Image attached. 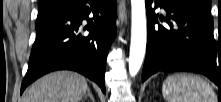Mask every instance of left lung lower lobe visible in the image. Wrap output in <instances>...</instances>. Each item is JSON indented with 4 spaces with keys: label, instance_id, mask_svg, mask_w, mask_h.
I'll use <instances>...</instances> for the list:
<instances>
[{
    "label": "left lung lower lobe",
    "instance_id": "obj_1",
    "mask_svg": "<svg viewBox=\"0 0 221 102\" xmlns=\"http://www.w3.org/2000/svg\"><path fill=\"white\" fill-rule=\"evenodd\" d=\"M158 7L167 11L165 20L171 29L155 26ZM146 8L147 56L142 81L159 71H191L221 87L220 50L217 53L210 13L190 0H146Z\"/></svg>",
    "mask_w": 221,
    "mask_h": 102
}]
</instances>
